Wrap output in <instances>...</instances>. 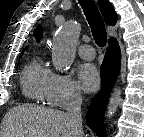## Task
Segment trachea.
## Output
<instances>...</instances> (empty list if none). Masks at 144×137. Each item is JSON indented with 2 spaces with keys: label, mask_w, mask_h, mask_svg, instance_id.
<instances>
[{
  "label": "trachea",
  "mask_w": 144,
  "mask_h": 137,
  "mask_svg": "<svg viewBox=\"0 0 144 137\" xmlns=\"http://www.w3.org/2000/svg\"><path fill=\"white\" fill-rule=\"evenodd\" d=\"M84 14L91 27L92 35L98 46H104L107 41V33L103 18L93 0H79Z\"/></svg>",
  "instance_id": "1"
}]
</instances>
